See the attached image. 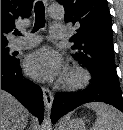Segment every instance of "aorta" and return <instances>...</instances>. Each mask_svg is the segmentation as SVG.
<instances>
[{"instance_id":"1","label":"aorta","mask_w":123,"mask_h":130,"mask_svg":"<svg viewBox=\"0 0 123 130\" xmlns=\"http://www.w3.org/2000/svg\"><path fill=\"white\" fill-rule=\"evenodd\" d=\"M64 14V8L60 4L54 3L51 4L48 8V15L53 19H62L64 18ZM41 130H52L50 116L45 117V119L43 120Z\"/></svg>"}]
</instances>
